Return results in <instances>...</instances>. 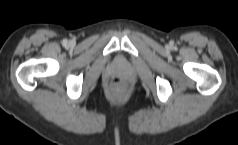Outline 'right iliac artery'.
Here are the masks:
<instances>
[{"mask_svg": "<svg viewBox=\"0 0 238 145\" xmlns=\"http://www.w3.org/2000/svg\"><path fill=\"white\" fill-rule=\"evenodd\" d=\"M63 45H66L67 44V40H63Z\"/></svg>", "mask_w": 238, "mask_h": 145, "instance_id": "obj_1", "label": "right iliac artery"}]
</instances>
